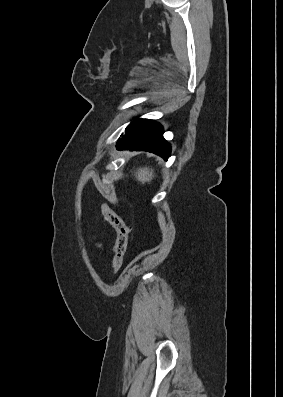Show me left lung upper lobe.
Listing matches in <instances>:
<instances>
[{
  "mask_svg": "<svg viewBox=\"0 0 283 397\" xmlns=\"http://www.w3.org/2000/svg\"><path fill=\"white\" fill-rule=\"evenodd\" d=\"M136 121H137V120H135V121H133L132 123H130V124L127 126L126 130H127L128 128H130Z\"/></svg>",
  "mask_w": 283,
  "mask_h": 397,
  "instance_id": "obj_1",
  "label": "left lung upper lobe"
}]
</instances>
